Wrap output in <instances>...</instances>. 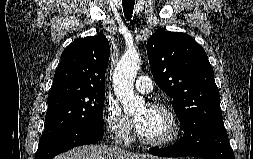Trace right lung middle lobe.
Segmentation results:
<instances>
[{
  "mask_svg": "<svg viewBox=\"0 0 253 159\" xmlns=\"http://www.w3.org/2000/svg\"><path fill=\"white\" fill-rule=\"evenodd\" d=\"M104 99L105 91H88L48 98L46 126L39 147L76 129H102Z\"/></svg>",
  "mask_w": 253,
  "mask_h": 159,
  "instance_id": "1",
  "label": "right lung middle lobe"
}]
</instances>
